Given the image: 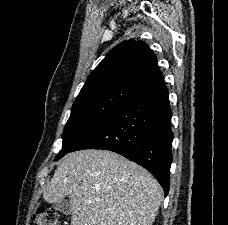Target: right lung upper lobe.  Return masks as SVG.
Masks as SVG:
<instances>
[{"label": "right lung upper lobe", "instance_id": "right-lung-upper-lobe-1", "mask_svg": "<svg viewBox=\"0 0 228 225\" xmlns=\"http://www.w3.org/2000/svg\"><path fill=\"white\" fill-rule=\"evenodd\" d=\"M160 75L157 58L151 49L143 41L130 39L106 55L89 75L81 91L111 82H123L142 89Z\"/></svg>", "mask_w": 228, "mask_h": 225}]
</instances>
